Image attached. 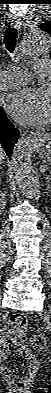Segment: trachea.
Listing matches in <instances>:
<instances>
[{"label": "trachea", "mask_w": 51, "mask_h": 393, "mask_svg": "<svg viewBox=\"0 0 51 393\" xmlns=\"http://www.w3.org/2000/svg\"><path fill=\"white\" fill-rule=\"evenodd\" d=\"M17 41V29L14 27H8L4 32V43L6 49L13 53L15 50Z\"/></svg>", "instance_id": "trachea-1"}]
</instances>
